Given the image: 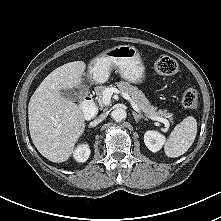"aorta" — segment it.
Listing matches in <instances>:
<instances>
[{"instance_id": "762f6f07", "label": "aorta", "mask_w": 221, "mask_h": 221, "mask_svg": "<svg viewBox=\"0 0 221 221\" xmlns=\"http://www.w3.org/2000/svg\"><path fill=\"white\" fill-rule=\"evenodd\" d=\"M112 119L116 122H120L127 117V113L122 108H116L111 113Z\"/></svg>"}]
</instances>
